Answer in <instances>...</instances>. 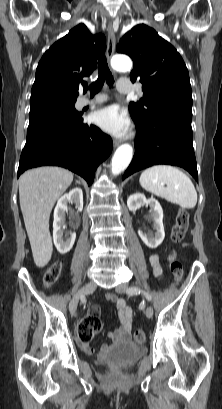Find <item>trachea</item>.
<instances>
[{
    "instance_id": "obj_1",
    "label": "trachea",
    "mask_w": 222,
    "mask_h": 409,
    "mask_svg": "<svg viewBox=\"0 0 222 409\" xmlns=\"http://www.w3.org/2000/svg\"><path fill=\"white\" fill-rule=\"evenodd\" d=\"M98 72L99 76L97 80L89 86L91 95H94L101 90L105 80L109 86H112L114 83L113 76L110 72L106 57L104 55H102L99 59Z\"/></svg>"
}]
</instances>
